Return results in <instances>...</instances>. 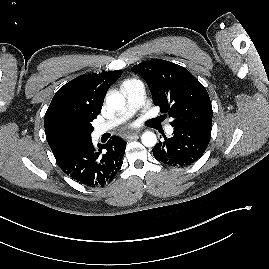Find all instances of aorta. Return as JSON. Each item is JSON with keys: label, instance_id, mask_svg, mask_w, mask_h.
Returning <instances> with one entry per match:
<instances>
[{"label": "aorta", "instance_id": "1", "mask_svg": "<svg viewBox=\"0 0 269 269\" xmlns=\"http://www.w3.org/2000/svg\"><path fill=\"white\" fill-rule=\"evenodd\" d=\"M107 105L114 110H121L125 106V98L119 92H112L106 97ZM142 144L146 147H153L157 143V137L155 133L146 131L141 136Z\"/></svg>", "mask_w": 269, "mask_h": 269}]
</instances>
